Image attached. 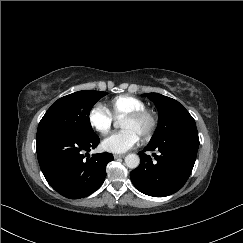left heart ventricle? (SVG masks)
I'll return each mask as SVG.
<instances>
[{"instance_id":"left-heart-ventricle-1","label":"left heart ventricle","mask_w":243,"mask_h":243,"mask_svg":"<svg viewBox=\"0 0 243 243\" xmlns=\"http://www.w3.org/2000/svg\"><path fill=\"white\" fill-rule=\"evenodd\" d=\"M121 128L123 130H132L139 138H142L148 129V122L146 120L132 121L123 119L121 122Z\"/></svg>"}]
</instances>
